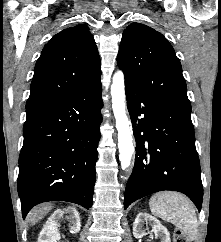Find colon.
I'll return each mask as SVG.
<instances>
[{"instance_id":"1","label":"colon","mask_w":221,"mask_h":242,"mask_svg":"<svg viewBox=\"0 0 221 242\" xmlns=\"http://www.w3.org/2000/svg\"><path fill=\"white\" fill-rule=\"evenodd\" d=\"M173 242H190L187 235L182 230H175L173 234Z\"/></svg>"}]
</instances>
